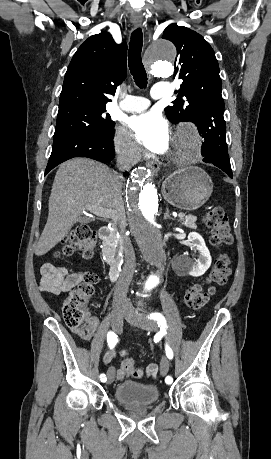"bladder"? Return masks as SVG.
<instances>
[{"label": "bladder", "instance_id": "bladder-1", "mask_svg": "<svg viewBox=\"0 0 271 459\" xmlns=\"http://www.w3.org/2000/svg\"><path fill=\"white\" fill-rule=\"evenodd\" d=\"M113 398L117 404L152 405L158 402L159 389L155 385L125 381L115 388Z\"/></svg>", "mask_w": 271, "mask_h": 459}]
</instances>
